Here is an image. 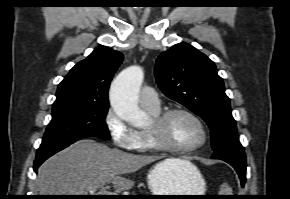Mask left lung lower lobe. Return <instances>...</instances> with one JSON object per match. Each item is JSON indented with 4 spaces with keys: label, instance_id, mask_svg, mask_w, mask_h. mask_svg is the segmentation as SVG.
<instances>
[{
    "label": "left lung lower lobe",
    "instance_id": "1",
    "mask_svg": "<svg viewBox=\"0 0 290 199\" xmlns=\"http://www.w3.org/2000/svg\"><path fill=\"white\" fill-rule=\"evenodd\" d=\"M213 159H220L229 163L238 173L241 185L244 186L246 180V156L244 150H225L215 152Z\"/></svg>",
    "mask_w": 290,
    "mask_h": 199
}]
</instances>
